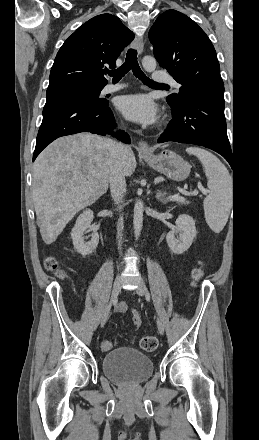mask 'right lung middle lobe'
Returning a JSON list of instances; mask_svg holds the SVG:
<instances>
[{"label":"right lung middle lobe","mask_w":259,"mask_h":440,"mask_svg":"<svg viewBox=\"0 0 259 440\" xmlns=\"http://www.w3.org/2000/svg\"><path fill=\"white\" fill-rule=\"evenodd\" d=\"M103 88H87V87H76L64 91H59L55 93L47 94L46 98H56V97H66V96H74V95H84V96H91L95 97L101 101H104V99L98 98L101 90Z\"/></svg>","instance_id":"1"}]
</instances>
